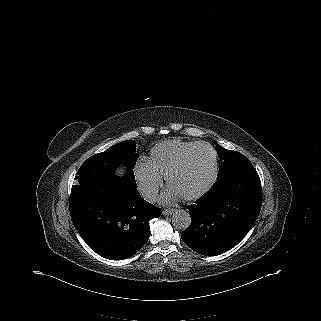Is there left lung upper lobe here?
<instances>
[{"mask_svg":"<svg viewBox=\"0 0 321 321\" xmlns=\"http://www.w3.org/2000/svg\"><path fill=\"white\" fill-rule=\"evenodd\" d=\"M217 153L222 161L217 178L220 177L224 172L230 170L231 168L251 164V162L241 153L237 151H231L223 148L219 144H216Z\"/></svg>","mask_w":321,"mask_h":321,"instance_id":"5c2ea615","label":"left lung upper lobe"}]
</instances>
